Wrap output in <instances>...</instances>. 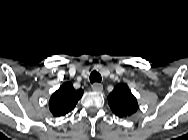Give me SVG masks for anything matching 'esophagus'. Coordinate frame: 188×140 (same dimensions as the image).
<instances>
[{"label":"esophagus","instance_id":"esophagus-1","mask_svg":"<svg viewBox=\"0 0 188 140\" xmlns=\"http://www.w3.org/2000/svg\"><path fill=\"white\" fill-rule=\"evenodd\" d=\"M92 89H93L94 91H96V92H101V91L103 90V85L96 82V83H94V84L92 85Z\"/></svg>","mask_w":188,"mask_h":140}]
</instances>
